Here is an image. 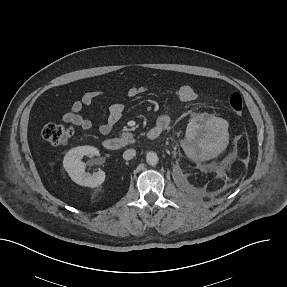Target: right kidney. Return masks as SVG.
I'll list each match as a JSON object with an SVG mask.
<instances>
[{
    "label": "right kidney",
    "mask_w": 287,
    "mask_h": 287,
    "mask_svg": "<svg viewBox=\"0 0 287 287\" xmlns=\"http://www.w3.org/2000/svg\"><path fill=\"white\" fill-rule=\"evenodd\" d=\"M97 148L92 146H78L68 151L63 160V166L70 178L78 185L95 188L100 186L106 178L105 172L100 170L90 174L85 172V163L81 161L85 155H98Z\"/></svg>",
    "instance_id": "1"
}]
</instances>
